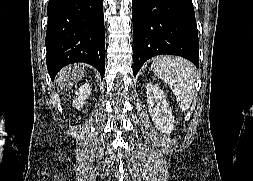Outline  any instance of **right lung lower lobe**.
<instances>
[{"label": "right lung lower lobe", "mask_w": 253, "mask_h": 181, "mask_svg": "<svg viewBox=\"0 0 253 181\" xmlns=\"http://www.w3.org/2000/svg\"><path fill=\"white\" fill-rule=\"evenodd\" d=\"M46 32L50 77L74 62L88 63L105 73L103 0H49Z\"/></svg>", "instance_id": "1"}]
</instances>
